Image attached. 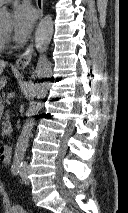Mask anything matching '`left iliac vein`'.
I'll return each instance as SVG.
<instances>
[{
    "instance_id": "left-iliac-vein-1",
    "label": "left iliac vein",
    "mask_w": 128,
    "mask_h": 213,
    "mask_svg": "<svg viewBox=\"0 0 128 213\" xmlns=\"http://www.w3.org/2000/svg\"><path fill=\"white\" fill-rule=\"evenodd\" d=\"M20 176H21V179H22L23 183L28 185L29 184V179H28V168L27 167H23L21 169Z\"/></svg>"
}]
</instances>
